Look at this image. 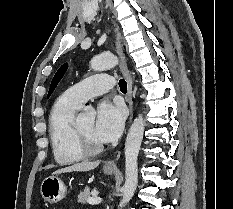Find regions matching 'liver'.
I'll list each match as a JSON object with an SVG mask.
<instances>
[{"mask_svg":"<svg viewBox=\"0 0 233 209\" xmlns=\"http://www.w3.org/2000/svg\"><path fill=\"white\" fill-rule=\"evenodd\" d=\"M99 165V161L95 162H82L64 167L53 172L55 174L69 173V172H86L95 169Z\"/></svg>","mask_w":233,"mask_h":209,"instance_id":"liver-1","label":"liver"}]
</instances>
